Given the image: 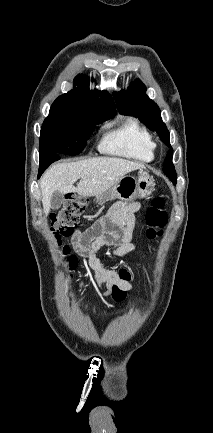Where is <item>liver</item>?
Returning a JSON list of instances; mask_svg holds the SVG:
<instances>
[{"mask_svg":"<svg viewBox=\"0 0 213 433\" xmlns=\"http://www.w3.org/2000/svg\"><path fill=\"white\" fill-rule=\"evenodd\" d=\"M141 163L116 157H95L71 163H58L42 176L40 188L44 213L50 212L54 191L99 196L113 187L125 174L143 169ZM80 179L77 187L73 184Z\"/></svg>","mask_w":213,"mask_h":433,"instance_id":"6515ba94","label":"liver"}]
</instances>
